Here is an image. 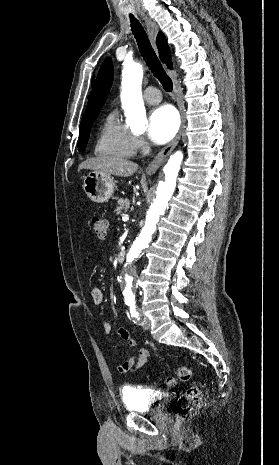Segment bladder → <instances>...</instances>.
<instances>
[{"label":"bladder","mask_w":279,"mask_h":465,"mask_svg":"<svg viewBox=\"0 0 279 465\" xmlns=\"http://www.w3.org/2000/svg\"><path fill=\"white\" fill-rule=\"evenodd\" d=\"M125 408L135 413H161L166 408L169 396L140 386H125L121 392Z\"/></svg>","instance_id":"bladder-1"}]
</instances>
